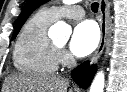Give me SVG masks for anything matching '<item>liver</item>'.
<instances>
[{
	"label": "liver",
	"mask_w": 127,
	"mask_h": 92,
	"mask_svg": "<svg viewBox=\"0 0 127 92\" xmlns=\"http://www.w3.org/2000/svg\"><path fill=\"white\" fill-rule=\"evenodd\" d=\"M67 79L47 75L14 74L5 79V92H73L67 91Z\"/></svg>",
	"instance_id": "1"
}]
</instances>
